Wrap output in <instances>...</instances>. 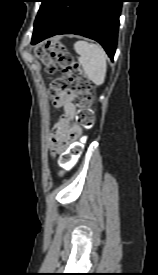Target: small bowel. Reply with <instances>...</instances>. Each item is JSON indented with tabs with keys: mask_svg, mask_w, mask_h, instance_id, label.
Returning a JSON list of instances; mask_svg holds the SVG:
<instances>
[{
	"mask_svg": "<svg viewBox=\"0 0 158 275\" xmlns=\"http://www.w3.org/2000/svg\"><path fill=\"white\" fill-rule=\"evenodd\" d=\"M72 91L65 92L55 99V106L61 107L64 114L54 124L50 146L53 151H62L71 142L77 140L81 135V128L74 123L75 105Z\"/></svg>",
	"mask_w": 158,
	"mask_h": 275,
	"instance_id": "1",
	"label": "small bowel"
}]
</instances>
